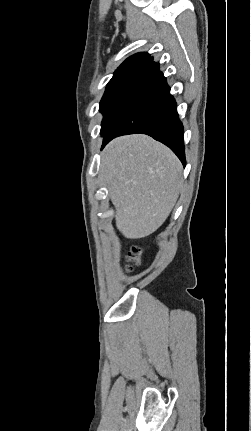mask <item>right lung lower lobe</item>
Segmentation results:
<instances>
[{
	"mask_svg": "<svg viewBox=\"0 0 251 431\" xmlns=\"http://www.w3.org/2000/svg\"><path fill=\"white\" fill-rule=\"evenodd\" d=\"M142 133L168 146L185 166L183 125L159 64L152 62L106 131L102 148L113 138Z\"/></svg>",
	"mask_w": 251,
	"mask_h": 431,
	"instance_id": "obj_1",
	"label": "right lung lower lobe"
}]
</instances>
